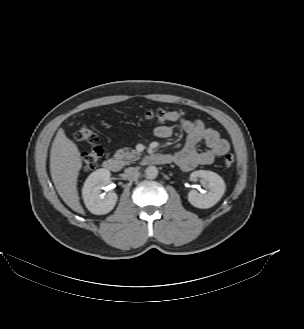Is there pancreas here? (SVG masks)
<instances>
[{
	"instance_id": "cf45deb5",
	"label": "pancreas",
	"mask_w": 304,
	"mask_h": 329,
	"mask_svg": "<svg viewBox=\"0 0 304 329\" xmlns=\"http://www.w3.org/2000/svg\"><path fill=\"white\" fill-rule=\"evenodd\" d=\"M115 158L118 159L123 165H128L131 161L140 159L141 154L136 150H129L128 148L119 149L115 153Z\"/></svg>"
}]
</instances>
